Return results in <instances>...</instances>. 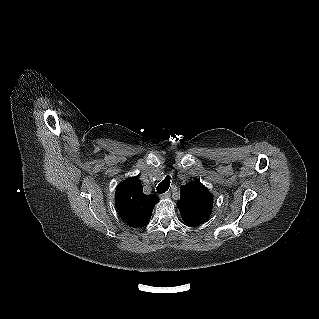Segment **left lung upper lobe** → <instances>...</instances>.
<instances>
[{
  "mask_svg": "<svg viewBox=\"0 0 319 319\" xmlns=\"http://www.w3.org/2000/svg\"><path fill=\"white\" fill-rule=\"evenodd\" d=\"M180 195L177 207L187 226H199L209 218L213 206V196L200 181L181 186Z\"/></svg>",
  "mask_w": 319,
  "mask_h": 319,
  "instance_id": "obj_1",
  "label": "left lung upper lobe"
}]
</instances>
